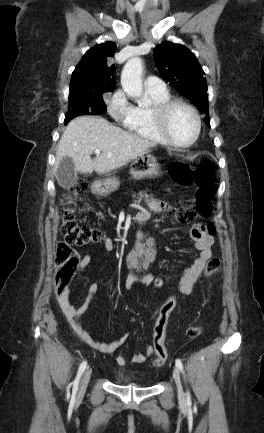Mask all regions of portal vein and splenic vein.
Wrapping results in <instances>:
<instances>
[{
	"mask_svg": "<svg viewBox=\"0 0 264 433\" xmlns=\"http://www.w3.org/2000/svg\"><path fill=\"white\" fill-rule=\"evenodd\" d=\"M94 152L96 155H100V153H101L100 149H95Z\"/></svg>",
	"mask_w": 264,
	"mask_h": 433,
	"instance_id": "1",
	"label": "portal vein and splenic vein"
}]
</instances>
